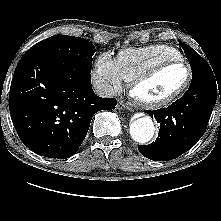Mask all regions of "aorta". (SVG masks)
Listing matches in <instances>:
<instances>
[{
  "label": "aorta",
  "instance_id": "762f6f07",
  "mask_svg": "<svg viewBox=\"0 0 221 221\" xmlns=\"http://www.w3.org/2000/svg\"><path fill=\"white\" fill-rule=\"evenodd\" d=\"M129 130L134 141L146 143L153 138L155 127L152 119L149 116H144L131 122Z\"/></svg>",
  "mask_w": 221,
  "mask_h": 221
}]
</instances>
